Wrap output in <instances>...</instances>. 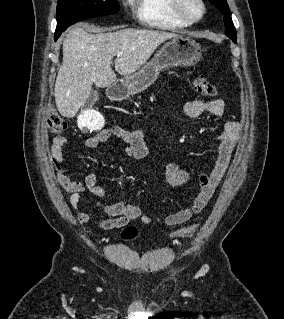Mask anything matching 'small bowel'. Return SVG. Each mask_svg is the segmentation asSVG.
Here are the masks:
<instances>
[{"label":"small bowel","instance_id":"obj_1","mask_svg":"<svg viewBox=\"0 0 284 319\" xmlns=\"http://www.w3.org/2000/svg\"><path fill=\"white\" fill-rule=\"evenodd\" d=\"M184 112L191 117H197L202 114L222 117L225 113V104L219 99L203 100L195 98L185 103ZM239 134L240 125L238 122L227 121L223 125L221 132L216 138V161L212 169L201 172L195 182L198 190L197 195L185 208L162 217L145 214L138 206L129 204L124 200L107 202L108 194L98 184V176L95 173L88 174L82 182L70 179L62 169V164L65 161L63 148L66 143V139L63 136H57L53 139L51 160L56 179L67 195L70 205L77 212V219L86 232L91 233V229L87 226L90 223H93L99 229L110 230L124 227L135 219H140L142 223L147 225L164 222L167 225L175 226L189 221L205 208L227 172ZM112 136L118 137L125 142L124 153L126 156L135 159H144L148 156L149 151L141 129L127 130L118 126L104 129L86 139L85 147L88 150H94L101 143L109 141ZM164 167L166 179L170 185L183 187L193 183L189 173L180 169L175 162L166 161L164 162ZM86 191L96 199V206L107 216L106 218L94 219L89 212L79 207Z\"/></svg>","mask_w":284,"mask_h":319}]
</instances>
